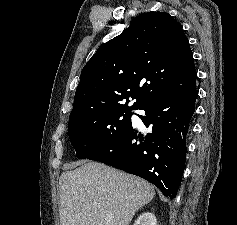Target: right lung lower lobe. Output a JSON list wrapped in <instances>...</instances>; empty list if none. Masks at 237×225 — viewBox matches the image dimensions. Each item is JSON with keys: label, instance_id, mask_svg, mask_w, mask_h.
Returning <instances> with one entry per match:
<instances>
[{"label": "right lung lower lobe", "instance_id": "1", "mask_svg": "<svg viewBox=\"0 0 237 225\" xmlns=\"http://www.w3.org/2000/svg\"><path fill=\"white\" fill-rule=\"evenodd\" d=\"M196 84L158 91L138 109L149 129L142 135L131 126L104 149L88 156L140 176L170 197H176L186 160V134L195 111ZM136 140V141H135Z\"/></svg>", "mask_w": 237, "mask_h": 225}]
</instances>
